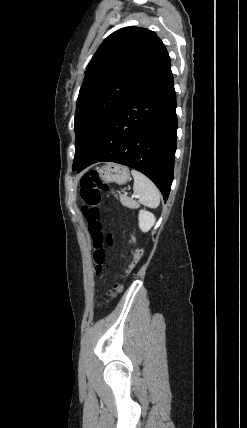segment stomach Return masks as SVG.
Listing matches in <instances>:
<instances>
[{
    "label": "stomach",
    "instance_id": "obj_1",
    "mask_svg": "<svg viewBox=\"0 0 247 428\" xmlns=\"http://www.w3.org/2000/svg\"><path fill=\"white\" fill-rule=\"evenodd\" d=\"M100 178L106 183L115 182L123 185L130 180V172L126 166L108 163L99 170Z\"/></svg>",
    "mask_w": 247,
    "mask_h": 428
}]
</instances>
